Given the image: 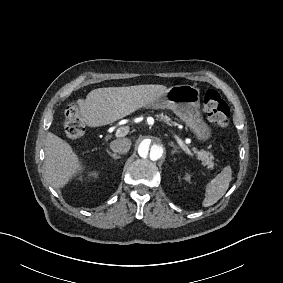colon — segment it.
Masks as SVG:
<instances>
[{"label":"colon","mask_w":283,"mask_h":283,"mask_svg":"<svg viewBox=\"0 0 283 283\" xmlns=\"http://www.w3.org/2000/svg\"><path fill=\"white\" fill-rule=\"evenodd\" d=\"M203 99L204 109L210 122L217 129L226 128L229 122V109L220 94L214 89H207L203 93ZM62 123L66 134L71 139L80 138L84 134L86 126L78 116L75 106H67Z\"/></svg>","instance_id":"colon-1"}]
</instances>
